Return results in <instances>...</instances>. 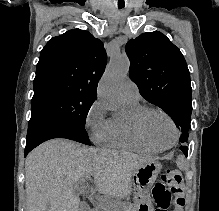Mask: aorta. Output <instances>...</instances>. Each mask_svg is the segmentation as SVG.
Wrapping results in <instances>:
<instances>
[{
  "mask_svg": "<svg viewBox=\"0 0 219 211\" xmlns=\"http://www.w3.org/2000/svg\"><path fill=\"white\" fill-rule=\"evenodd\" d=\"M129 66L130 62L126 56L113 58L100 81L98 96L110 111H117L119 108L118 95L120 85L129 72Z\"/></svg>",
  "mask_w": 219,
  "mask_h": 211,
  "instance_id": "obj_1",
  "label": "aorta"
}]
</instances>
